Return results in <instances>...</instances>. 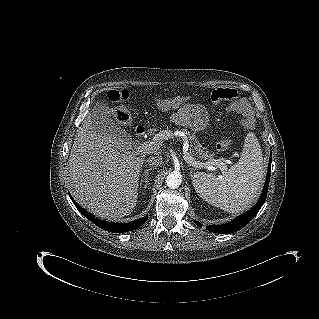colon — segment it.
<instances>
[{
	"instance_id": "1",
	"label": "colon",
	"mask_w": 319,
	"mask_h": 319,
	"mask_svg": "<svg viewBox=\"0 0 319 319\" xmlns=\"http://www.w3.org/2000/svg\"><path fill=\"white\" fill-rule=\"evenodd\" d=\"M125 98L126 93L124 91L113 90L107 94V99L111 102H118L124 100ZM238 98V93L229 88H219L213 90L209 96L210 101L213 103L227 102L233 104L238 100ZM185 100L186 99L184 97L156 98L155 103L158 107H174L181 104ZM237 109L243 114H247L249 111V108L246 105L237 106ZM115 118L117 122L122 125H127L131 120L130 114L125 108H118L115 112ZM229 145L230 141L225 140L219 142L217 148L220 151H225Z\"/></svg>"
}]
</instances>
